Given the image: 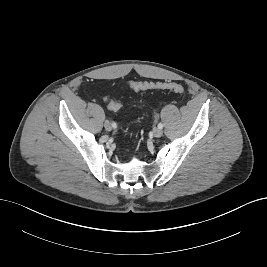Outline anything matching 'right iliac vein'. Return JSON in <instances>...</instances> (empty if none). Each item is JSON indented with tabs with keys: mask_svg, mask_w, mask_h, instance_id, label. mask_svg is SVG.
Instances as JSON below:
<instances>
[{
	"mask_svg": "<svg viewBox=\"0 0 267 267\" xmlns=\"http://www.w3.org/2000/svg\"><path fill=\"white\" fill-rule=\"evenodd\" d=\"M104 127L107 131H110L112 129V125L108 120L105 121Z\"/></svg>",
	"mask_w": 267,
	"mask_h": 267,
	"instance_id": "obj_1",
	"label": "right iliac vein"
}]
</instances>
